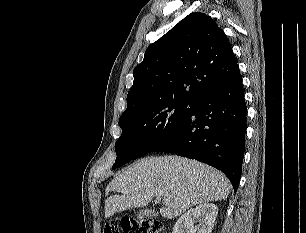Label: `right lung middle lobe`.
Instances as JSON below:
<instances>
[{
    "label": "right lung middle lobe",
    "instance_id": "right-lung-middle-lobe-1",
    "mask_svg": "<svg viewBox=\"0 0 306 233\" xmlns=\"http://www.w3.org/2000/svg\"><path fill=\"white\" fill-rule=\"evenodd\" d=\"M195 106L181 98L164 99L122 115V135L115 143L117 158L112 169L149 153L168 139Z\"/></svg>",
    "mask_w": 306,
    "mask_h": 233
}]
</instances>
